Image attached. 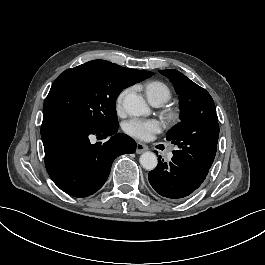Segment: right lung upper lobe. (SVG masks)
<instances>
[{
  "label": "right lung upper lobe",
  "instance_id": "1",
  "mask_svg": "<svg viewBox=\"0 0 265 265\" xmlns=\"http://www.w3.org/2000/svg\"><path fill=\"white\" fill-rule=\"evenodd\" d=\"M140 71H142V75L144 76V79L153 75V73L149 71H143V70H140Z\"/></svg>",
  "mask_w": 265,
  "mask_h": 265
}]
</instances>
